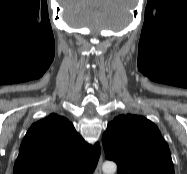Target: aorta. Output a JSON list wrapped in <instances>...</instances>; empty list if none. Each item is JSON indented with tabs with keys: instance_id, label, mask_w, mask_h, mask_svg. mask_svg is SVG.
Returning <instances> with one entry per match:
<instances>
[{
	"instance_id": "762f6f07",
	"label": "aorta",
	"mask_w": 187,
	"mask_h": 174,
	"mask_svg": "<svg viewBox=\"0 0 187 174\" xmlns=\"http://www.w3.org/2000/svg\"><path fill=\"white\" fill-rule=\"evenodd\" d=\"M102 170L104 174H115L117 166L114 162L107 161L103 164Z\"/></svg>"
}]
</instances>
